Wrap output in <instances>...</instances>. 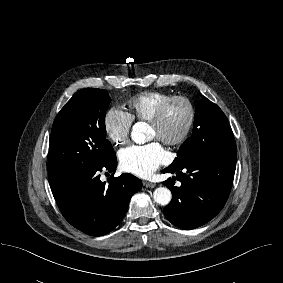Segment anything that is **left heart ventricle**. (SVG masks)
<instances>
[{
	"instance_id": "b2bd125f",
	"label": "left heart ventricle",
	"mask_w": 283,
	"mask_h": 283,
	"mask_svg": "<svg viewBox=\"0 0 283 283\" xmlns=\"http://www.w3.org/2000/svg\"><path fill=\"white\" fill-rule=\"evenodd\" d=\"M187 121V109L182 103H174L169 108L160 130L149 127V139L161 140L162 138H174L183 130Z\"/></svg>"
}]
</instances>
